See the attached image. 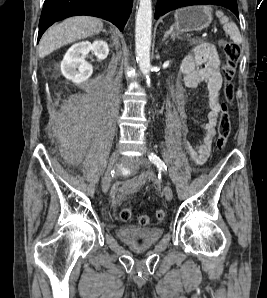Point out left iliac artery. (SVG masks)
<instances>
[{
  "mask_svg": "<svg viewBox=\"0 0 267 298\" xmlns=\"http://www.w3.org/2000/svg\"><path fill=\"white\" fill-rule=\"evenodd\" d=\"M148 158L149 160L154 164L156 165V167L159 169V170H162L163 172H167V167L165 165V163L162 161V159L157 156L154 152H150L148 154Z\"/></svg>",
  "mask_w": 267,
  "mask_h": 298,
  "instance_id": "44dca946",
  "label": "left iliac artery"
}]
</instances>
